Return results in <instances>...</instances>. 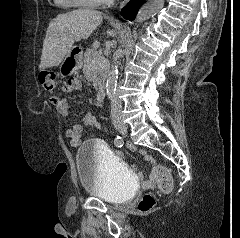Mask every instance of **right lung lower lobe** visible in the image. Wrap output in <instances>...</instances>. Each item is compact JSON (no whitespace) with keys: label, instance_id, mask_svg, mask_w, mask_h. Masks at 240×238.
I'll list each match as a JSON object with an SVG mask.
<instances>
[{"label":"right lung lower lobe","instance_id":"obj_1","mask_svg":"<svg viewBox=\"0 0 240 238\" xmlns=\"http://www.w3.org/2000/svg\"><path fill=\"white\" fill-rule=\"evenodd\" d=\"M143 1L144 0H130V2L122 9V16L130 21L134 20Z\"/></svg>","mask_w":240,"mask_h":238}]
</instances>
